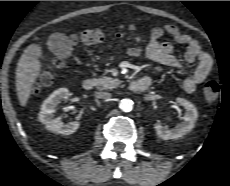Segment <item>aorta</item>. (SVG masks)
<instances>
[{
	"label": "aorta",
	"instance_id": "1",
	"mask_svg": "<svg viewBox=\"0 0 230 186\" xmlns=\"http://www.w3.org/2000/svg\"><path fill=\"white\" fill-rule=\"evenodd\" d=\"M119 107L124 112H130L133 109V101L130 99H122L119 103Z\"/></svg>",
	"mask_w": 230,
	"mask_h": 186
}]
</instances>
